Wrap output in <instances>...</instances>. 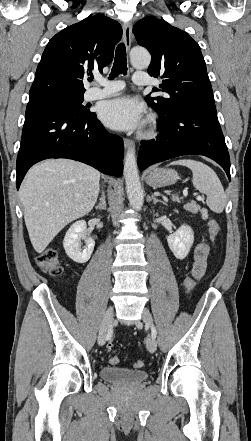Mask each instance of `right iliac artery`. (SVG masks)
I'll return each instance as SVG.
<instances>
[{
    "mask_svg": "<svg viewBox=\"0 0 251 441\" xmlns=\"http://www.w3.org/2000/svg\"><path fill=\"white\" fill-rule=\"evenodd\" d=\"M113 331L112 329H109L106 340H109L112 337Z\"/></svg>",
    "mask_w": 251,
    "mask_h": 441,
    "instance_id": "82829eb1",
    "label": "right iliac artery"
}]
</instances>
